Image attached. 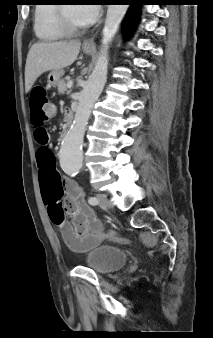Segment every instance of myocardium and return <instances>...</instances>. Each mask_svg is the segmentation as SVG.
Here are the masks:
<instances>
[{
    "label": "myocardium",
    "instance_id": "myocardium-1",
    "mask_svg": "<svg viewBox=\"0 0 213 338\" xmlns=\"http://www.w3.org/2000/svg\"><path fill=\"white\" fill-rule=\"evenodd\" d=\"M67 5H57L58 12V26L62 30L65 35L73 36L78 35L84 32L87 27L86 26H76L74 25L67 16L66 13Z\"/></svg>",
    "mask_w": 213,
    "mask_h": 338
}]
</instances>
